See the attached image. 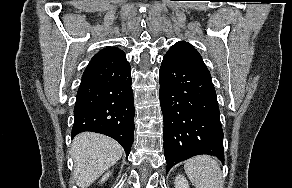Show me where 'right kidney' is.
<instances>
[{
	"instance_id": "right-kidney-1",
	"label": "right kidney",
	"mask_w": 292,
	"mask_h": 188,
	"mask_svg": "<svg viewBox=\"0 0 292 188\" xmlns=\"http://www.w3.org/2000/svg\"><path fill=\"white\" fill-rule=\"evenodd\" d=\"M110 174H111V172L105 173V175L100 180V183L105 182V180H107V178L110 176Z\"/></svg>"
}]
</instances>
